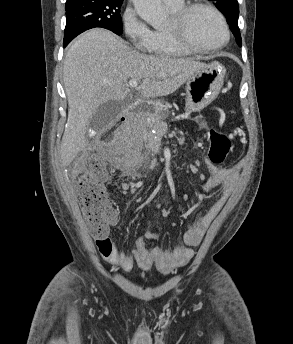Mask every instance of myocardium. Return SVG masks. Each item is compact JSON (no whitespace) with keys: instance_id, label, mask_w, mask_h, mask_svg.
Here are the masks:
<instances>
[{"instance_id":"obj_1","label":"myocardium","mask_w":293,"mask_h":344,"mask_svg":"<svg viewBox=\"0 0 293 344\" xmlns=\"http://www.w3.org/2000/svg\"><path fill=\"white\" fill-rule=\"evenodd\" d=\"M198 8H204L211 11L220 21L225 34L224 40L221 43L211 47H202L194 44L188 37L186 32L187 18L193 10ZM166 31L178 44H180L187 50L196 53L216 52L225 47L229 43L231 38L229 25L223 13L214 5L202 0H196L192 3L185 4L179 9L173 11L171 15V25L166 28Z\"/></svg>"}]
</instances>
